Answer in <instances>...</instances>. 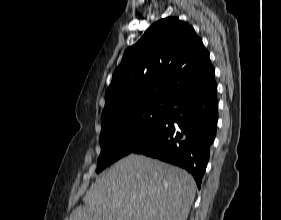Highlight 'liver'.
<instances>
[{
	"label": "liver",
	"mask_w": 281,
	"mask_h": 220,
	"mask_svg": "<svg viewBox=\"0 0 281 220\" xmlns=\"http://www.w3.org/2000/svg\"><path fill=\"white\" fill-rule=\"evenodd\" d=\"M196 184L185 170L130 154L105 171L69 220H187Z\"/></svg>",
	"instance_id": "obj_1"
}]
</instances>
